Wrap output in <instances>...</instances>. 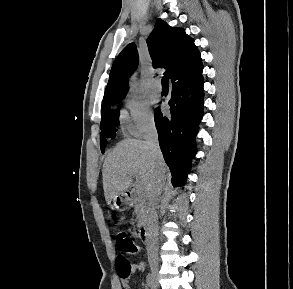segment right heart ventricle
Masks as SVG:
<instances>
[{"instance_id": "e07e8e85", "label": "right heart ventricle", "mask_w": 293, "mask_h": 289, "mask_svg": "<svg viewBox=\"0 0 293 289\" xmlns=\"http://www.w3.org/2000/svg\"><path fill=\"white\" fill-rule=\"evenodd\" d=\"M122 118H123V123H124V124L122 125L121 130H122L123 133H125L126 130L129 129V126H127V125L125 124V117L123 116Z\"/></svg>"}]
</instances>
